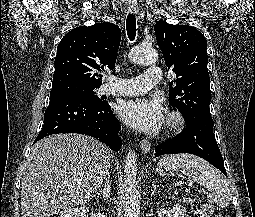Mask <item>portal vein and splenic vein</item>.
I'll use <instances>...</instances> for the list:
<instances>
[{
    "label": "portal vein and splenic vein",
    "mask_w": 255,
    "mask_h": 217,
    "mask_svg": "<svg viewBox=\"0 0 255 217\" xmlns=\"http://www.w3.org/2000/svg\"><path fill=\"white\" fill-rule=\"evenodd\" d=\"M186 192H190V189H186ZM201 192L205 193L204 189H201Z\"/></svg>",
    "instance_id": "obj_1"
}]
</instances>
